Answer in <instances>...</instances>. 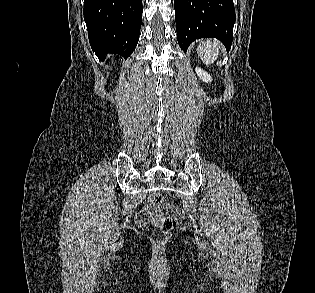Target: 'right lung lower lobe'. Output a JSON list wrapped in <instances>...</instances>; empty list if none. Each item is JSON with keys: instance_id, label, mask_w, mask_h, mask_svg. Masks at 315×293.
I'll use <instances>...</instances> for the list:
<instances>
[{"instance_id": "obj_1", "label": "right lung lower lobe", "mask_w": 315, "mask_h": 293, "mask_svg": "<svg viewBox=\"0 0 315 293\" xmlns=\"http://www.w3.org/2000/svg\"><path fill=\"white\" fill-rule=\"evenodd\" d=\"M142 0H85L84 20L93 52L131 55L138 40L142 22Z\"/></svg>"}]
</instances>
